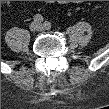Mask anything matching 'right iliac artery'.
<instances>
[{
	"mask_svg": "<svg viewBox=\"0 0 109 109\" xmlns=\"http://www.w3.org/2000/svg\"><path fill=\"white\" fill-rule=\"evenodd\" d=\"M34 21L37 22V23L43 22V17H42V15L36 14V15L34 16Z\"/></svg>",
	"mask_w": 109,
	"mask_h": 109,
	"instance_id": "right-iliac-artery-1",
	"label": "right iliac artery"
}]
</instances>
